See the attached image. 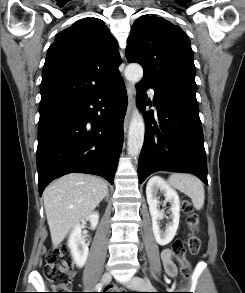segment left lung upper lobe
I'll return each instance as SVG.
<instances>
[{
    "instance_id": "1",
    "label": "left lung upper lobe",
    "mask_w": 245,
    "mask_h": 293,
    "mask_svg": "<svg viewBox=\"0 0 245 293\" xmlns=\"http://www.w3.org/2000/svg\"><path fill=\"white\" fill-rule=\"evenodd\" d=\"M126 58L143 67L141 82L152 85L158 93L197 104L193 51L179 26L143 15L132 26Z\"/></svg>"
}]
</instances>
